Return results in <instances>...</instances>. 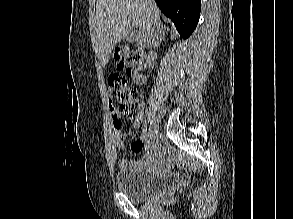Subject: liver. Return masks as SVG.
<instances>
[{
	"label": "liver",
	"instance_id": "liver-1",
	"mask_svg": "<svg viewBox=\"0 0 293 219\" xmlns=\"http://www.w3.org/2000/svg\"><path fill=\"white\" fill-rule=\"evenodd\" d=\"M132 27L139 29L135 35L141 46H159L166 28L161 25L160 10L154 0H97L93 46L103 67Z\"/></svg>",
	"mask_w": 293,
	"mask_h": 219
}]
</instances>
